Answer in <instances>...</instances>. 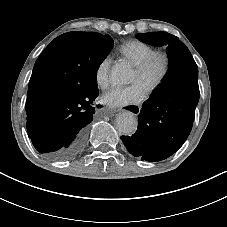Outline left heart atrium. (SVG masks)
I'll list each match as a JSON object with an SVG mask.
<instances>
[{
  "instance_id": "1",
  "label": "left heart atrium",
  "mask_w": 227,
  "mask_h": 227,
  "mask_svg": "<svg viewBox=\"0 0 227 227\" xmlns=\"http://www.w3.org/2000/svg\"><path fill=\"white\" fill-rule=\"evenodd\" d=\"M145 87L133 84L127 88H113L102 96L103 103L109 108H120L140 104L147 96Z\"/></svg>"
}]
</instances>
